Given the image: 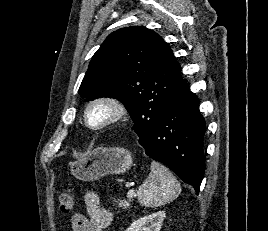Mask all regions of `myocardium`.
Listing matches in <instances>:
<instances>
[{"label": "myocardium", "mask_w": 268, "mask_h": 231, "mask_svg": "<svg viewBox=\"0 0 268 231\" xmlns=\"http://www.w3.org/2000/svg\"><path fill=\"white\" fill-rule=\"evenodd\" d=\"M99 105L106 106L109 110V115L105 120L101 121L100 123L92 124L89 121V112L93 107ZM125 116L126 107L124 103L120 99L111 95H101L94 97L87 103L84 111L85 124L90 129L96 131L105 129L111 125L119 123L124 119Z\"/></svg>", "instance_id": "1"}]
</instances>
